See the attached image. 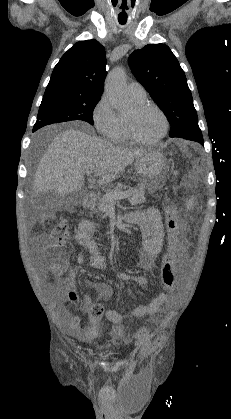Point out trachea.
<instances>
[{
	"mask_svg": "<svg viewBox=\"0 0 231 419\" xmlns=\"http://www.w3.org/2000/svg\"><path fill=\"white\" fill-rule=\"evenodd\" d=\"M120 24H125L124 22H120Z\"/></svg>",
	"mask_w": 231,
	"mask_h": 419,
	"instance_id": "3493384b",
	"label": "trachea"
}]
</instances>
